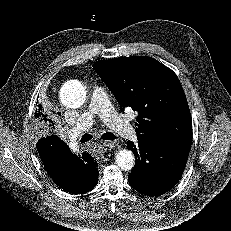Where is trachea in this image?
<instances>
[{"mask_svg":"<svg viewBox=\"0 0 231 231\" xmlns=\"http://www.w3.org/2000/svg\"><path fill=\"white\" fill-rule=\"evenodd\" d=\"M101 138L103 140H114L116 139V136L111 132H106L101 135ZM91 139H92V136L90 134H84L80 141L84 143V142L90 141Z\"/></svg>","mask_w":231,"mask_h":231,"instance_id":"trachea-1","label":"trachea"}]
</instances>
